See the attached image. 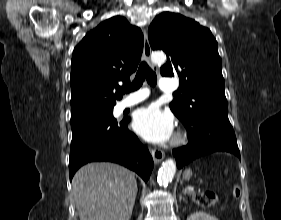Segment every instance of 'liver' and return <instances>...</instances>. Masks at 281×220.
I'll return each mask as SVG.
<instances>
[{
  "label": "liver",
  "instance_id": "liver-1",
  "mask_svg": "<svg viewBox=\"0 0 281 220\" xmlns=\"http://www.w3.org/2000/svg\"><path fill=\"white\" fill-rule=\"evenodd\" d=\"M80 220H130L137 195L135 175L114 163H89L72 180Z\"/></svg>",
  "mask_w": 281,
  "mask_h": 220
}]
</instances>
